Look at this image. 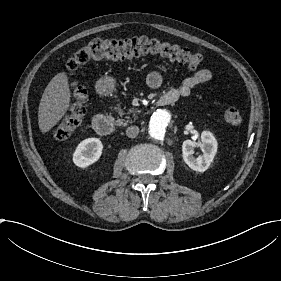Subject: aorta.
<instances>
[{
  "mask_svg": "<svg viewBox=\"0 0 281 281\" xmlns=\"http://www.w3.org/2000/svg\"><path fill=\"white\" fill-rule=\"evenodd\" d=\"M171 115L167 110L160 109L154 112L149 125V134L156 140H164L169 128Z\"/></svg>",
  "mask_w": 281,
  "mask_h": 281,
  "instance_id": "1",
  "label": "aorta"
}]
</instances>
